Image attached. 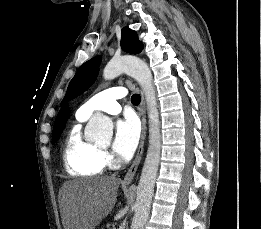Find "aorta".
<instances>
[{
  "label": "aorta",
  "instance_id": "762f6f07",
  "mask_svg": "<svg viewBox=\"0 0 261 229\" xmlns=\"http://www.w3.org/2000/svg\"><path fill=\"white\" fill-rule=\"evenodd\" d=\"M122 72H126L129 76L136 78L140 82L146 96V104L149 119V147L143 165L141 177L137 187V197L135 207V215L131 223V229H144L152 203L155 181L158 173L161 155V127L159 110L157 106L155 88L153 86L152 72L141 58L138 56H119V58H111L107 62L103 76L105 80L116 78ZM90 131H87L86 137L94 139L96 143H102L112 139L113 123L109 117L102 115V112H95L90 119Z\"/></svg>",
  "mask_w": 261,
  "mask_h": 229
}]
</instances>
